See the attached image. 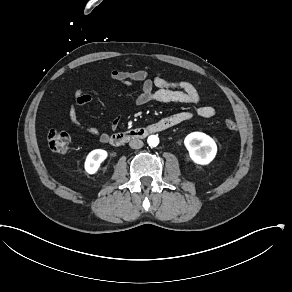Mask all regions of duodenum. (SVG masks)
<instances>
[{
  "label": "duodenum",
  "instance_id": "1",
  "mask_svg": "<svg viewBox=\"0 0 292 292\" xmlns=\"http://www.w3.org/2000/svg\"><path fill=\"white\" fill-rule=\"evenodd\" d=\"M161 126V124L156 123L143 128L129 129L126 131L118 132L111 135L108 141L114 146H120L129 140L142 139L150 133L162 132L164 130L160 131Z\"/></svg>",
  "mask_w": 292,
  "mask_h": 292
}]
</instances>
